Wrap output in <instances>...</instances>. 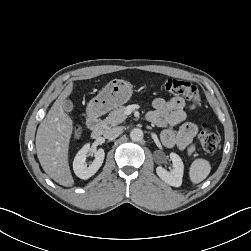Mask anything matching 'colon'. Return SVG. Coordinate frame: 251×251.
<instances>
[{"instance_id": "5ec220e1", "label": "colon", "mask_w": 251, "mask_h": 251, "mask_svg": "<svg viewBox=\"0 0 251 251\" xmlns=\"http://www.w3.org/2000/svg\"><path fill=\"white\" fill-rule=\"evenodd\" d=\"M162 87L169 94L185 97L189 101L192 108H197L201 104L198 89L190 82L169 78L163 81ZM81 133L82 130L80 127L75 128L73 131V138L79 139ZM198 138L203 150L206 153L213 154L217 150L219 144L218 137L210 132L206 124H202Z\"/></svg>"}]
</instances>
